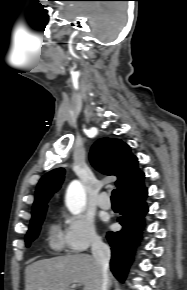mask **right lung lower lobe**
<instances>
[{"instance_id":"obj_1","label":"right lung lower lobe","mask_w":187,"mask_h":290,"mask_svg":"<svg viewBox=\"0 0 187 290\" xmlns=\"http://www.w3.org/2000/svg\"><path fill=\"white\" fill-rule=\"evenodd\" d=\"M146 197L147 192L140 198L121 202V217L118 222L122 225V230L108 232L106 236L112 250L110 268L120 282H124L126 278L134 253L133 244L138 241L144 226L143 218L148 212Z\"/></svg>"}]
</instances>
